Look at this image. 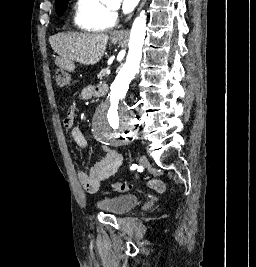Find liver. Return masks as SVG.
Wrapping results in <instances>:
<instances>
[{"label":"liver","mask_w":256,"mask_h":267,"mask_svg":"<svg viewBox=\"0 0 256 267\" xmlns=\"http://www.w3.org/2000/svg\"><path fill=\"white\" fill-rule=\"evenodd\" d=\"M117 34L118 32H113V36ZM108 40L107 34H99V32H89V34L62 32L49 38L52 50L61 60L79 62L84 66H93L100 62L105 54Z\"/></svg>","instance_id":"1"}]
</instances>
